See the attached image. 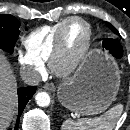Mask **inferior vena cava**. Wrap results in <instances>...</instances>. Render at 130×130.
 Wrapping results in <instances>:
<instances>
[{
  "instance_id": "inferior-vena-cava-1",
  "label": "inferior vena cava",
  "mask_w": 130,
  "mask_h": 130,
  "mask_svg": "<svg viewBox=\"0 0 130 130\" xmlns=\"http://www.w3.org/2000/svg\"><path fill=\"white\" fill-rule=\"evenodd\" d=\"M21 77L28 85H38L41 81L40 74L32 66H24L21 70Z\"/></svg>"
}]
</instances>
